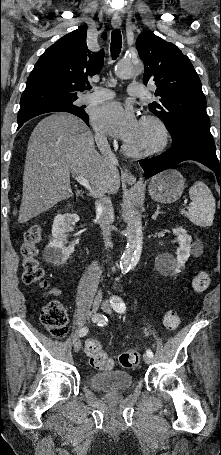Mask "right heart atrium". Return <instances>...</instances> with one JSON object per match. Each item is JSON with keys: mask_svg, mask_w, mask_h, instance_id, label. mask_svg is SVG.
<instances>
[{"mask_svg": "<svg viewBox=\"0 0 221 455\" xmlns=\"http://www.w3.org/2000/svg\"><path fill=\"white\" fill-rule=\"evenodd\" d=\"M96 138L100 145H104L107 142L106 137L101 133H97Z\"/></svg>", "mask_w": 221, "mask_h": 455, "instance_id": "1", "label": "right heart atrium"}]
</instances>
